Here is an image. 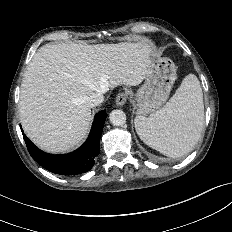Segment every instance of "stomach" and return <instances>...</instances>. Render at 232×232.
Masks as SVG:
<instances>
[{"label":"stomach","mask_w":232,"mask_h":232,"mask_svg":"<svg viewBox=\"0 0 232 232\" xmlns=\"http://www.w3.org/2000/svg\"><path fill=\"white\" fill-rule=\"evenodd\" d=\"M177 78V69L169 58L152 60L144 84L137 90V114L147 115L159 109L167 100Z\"/></svg>","instance_id":"0dacf381"}]
</instances>
